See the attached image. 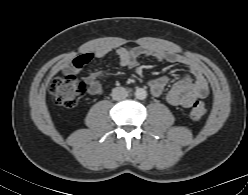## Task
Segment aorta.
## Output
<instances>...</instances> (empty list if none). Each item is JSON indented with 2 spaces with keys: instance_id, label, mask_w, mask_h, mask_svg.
Listing matches in <instances>:
<instances>
[{
  "instance_id": "762f6f07",
  "label": "aorta",
  "mask_w": 248,
  "mask_h": 195,
  "mask_svg": "<svg viewBox=\"0 0 248 195\" xmlns=\"http://www.w3.org/2000/svg\"><path fill=\"white\" fill-rule=\"evenodd\" d=\"M135 96L139 100H144L147 97V92L143 88H138L135 91Z\"/></svg>"
}]
</instances>
